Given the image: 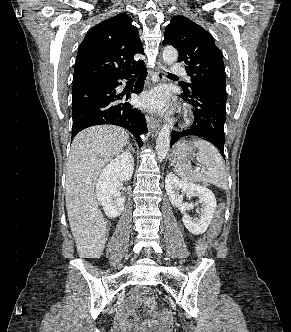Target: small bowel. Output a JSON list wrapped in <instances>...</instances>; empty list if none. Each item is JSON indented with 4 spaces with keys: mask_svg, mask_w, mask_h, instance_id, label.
<instances>
[{
    "mask_svg": "<svg viewBox=\"0 0 291 332\" xmlns=\"http://www.w3.org/2000/svg\"><path fill=\"white\" fill-rule=\"evenodd\" d=\"M196 251L199 255H202L205 253L206 251V242L204 240H199L196 244ZM144 302L146 304V306L149 308V311L151 313V315L155 318L153 319H148L146 321L143 322V327L145 328H159V330L161 331L169 322V314L168 312H162V313H158L157 310V305L156 303L149 297L145 296L144 298ZM157 317H160L159 319ZM123 328L128 327V324L126 322H123L122 324Z\"/></svg>",
    "mask_w": 291,
    "mask_h": 332,
    "instance_id": "obj_1",
    "label": "small bowel"
}]
</instances>
